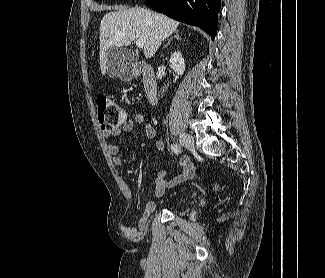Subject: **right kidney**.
<instances>
[{
  "label": "right kidney",
  "mask_w": 325,
  "mask_h": 278,
  "mask_svg": "<svg viewBox=\"0 0 325 278\" xmlns=\"http://www.w3.org/2000/svg\"><path fill=\"white\" fill-rule=\"evenodd\" d=\"M170 67L178 75H183L185 71V61L180 51L174 52L170 56Z\"/></svg>",
  "instance_id": "right-kidney-1"
}]
</instances>
